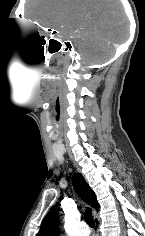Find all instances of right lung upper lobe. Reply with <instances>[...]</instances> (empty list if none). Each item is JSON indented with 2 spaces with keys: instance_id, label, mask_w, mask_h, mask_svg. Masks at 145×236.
I'll return each mask as SVG.
<instances>
[{
  "instance_id": "1",
  "label": "right lung upper lobe",
  "mask_w": 145,
  "mask_h": 236,
  "mask_svg": "<svg viewBox=\"0 0 145 236\" xmlns=\"http://www.w3.org/2000/svg\"><path fill=\"white\" fill-rule=\"evenodd\" d=\"M72 184L76 192L97 211L99 204L96 200V195L89 187L85 179L80 173L73 176ZM59 213L57 210H51L43 219L40 230L37 236H59Z\"/></svg>"
}]
</instances>
